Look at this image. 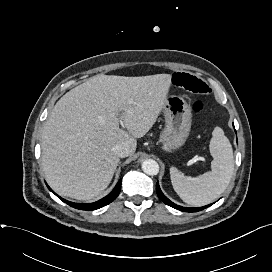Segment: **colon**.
Returning <instances> with one entry per match:
<instances>
[{
    "mask_svg": "<svg viewBox=\"0 0 272 272\" xmlns=\"http://www.w3.org/2000/svg\"><path fill=\"white\" fill-rule=\"evenodd\" d=\"M191 105L193 111L196 113L201 112L205 107V104L202 100H193L191 101Z\"/></svg>",
    "mask_w": 272,
    "mask_h": 272,
    "instance_id": "5ec220e1",
    "label": "colon"
}]
</instances>
